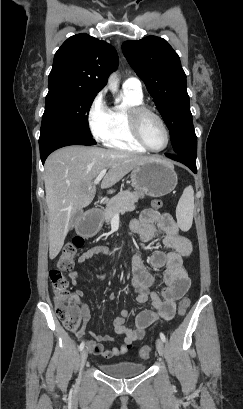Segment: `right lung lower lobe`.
Listing matches in <instances>:
<instances>
[{
  "label": "right lung lower lobe",
  "mask_w": 243,
  "mask_h": 409,
  "mask_svg": "<svg viewBox=\"0 0 243 409\" xmlns=\"http://www.w3.org/2000/svg\"><path fill=\"white\" fill-rule=\"evenodd\" d=\"M96 141L76 133L67 131H54L45 138L39 139L40 156L44 164L47 156L54 150L68 145H94Z\"/></svg>",
  "instance_id": "obj_1"
}]
</instances>
